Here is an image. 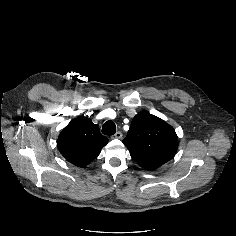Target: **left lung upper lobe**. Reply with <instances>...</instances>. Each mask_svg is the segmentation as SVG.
<instances>
[{
	"label": "left lung upper lobe",
	"mask_w": 236,
	"mask_h": 236,
	"mask_svg": "<svg viewBox=\"0 0 236 236\" xmlns=\"http://www.w3.org/2000/svg\"><path fill=\"white\" fill-rule=\"evenodd\" d=\"M123 144L141 167L151 171L174 157L178 138L169 124L143 110L133 118Z\"/></svg>",
	"instance_id": "left-lung-upper-lobe-1"
}]
</instances>
